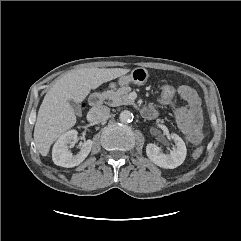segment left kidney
I'll return each mask as SVG.
<instances>
[{
	"label": "left kidney",
	"instance_id": "5707ae66",
	"mask_svg": "<svg viewBox=\"0 0 241 241\" xmlns=\"http://www.w3.org/2000/svg\"><path fill=\"white\" fill-rule=\"evenodd\" d=\"M171 138L175 142V148L169 154L162 153L160 148L155 144L150 143L146 146L148 158L157 166L166 169H174L180 166L187 154V149L182 138L175 133L171 134Z\"/></svg>",
	"mask_w": 241,
	"mask_h": 241
}]
</instances>
